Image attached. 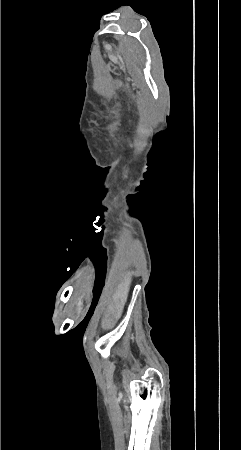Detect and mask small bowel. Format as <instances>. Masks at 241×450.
Wrapping results in <instances>:
<instances>
[{
    "mask_svg": "<svg viewBox=\"0 0 241 450\" xmlns=\"http://www.w3.org/2000/svg\"><path fill=\"white\" fill-rule=\"evenodd\" d=\"M103 306L105 308L103 310H99L97 312V317L99 319H125L126 318V311L118 310L116 308L118 306V303L116 301H111L110 303L108 301H105L103 303Z\"/></svg>",
    "mask_w": 241,
    "mask_h": 450,
    "instance_id": "small-bowel-1",
    "label": "small bowel"
}]
</instances>
